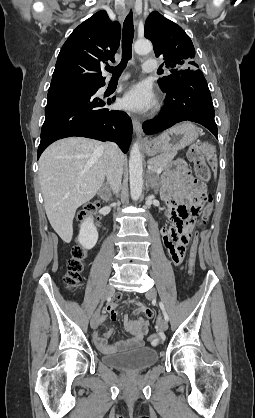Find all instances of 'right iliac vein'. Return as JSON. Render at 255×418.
<instances>
[{
    "label": "right iliac vein",
    "instance_id": "63e3f726",
    "mask_svg": "<svg viewBox=\"0 0 255 418\" xmlns=\"http://www.w3.org/2000/svg\"><path fill=\"white\" fill-rule=\"evenodd\" d=\"M114 291L115 289L112 285H107L103 293L102 302L109 299L114 294ZM98 323H99V312H96L93 315L91 322H90L91 328L92 329L97 328Z\"/></svg>",
    "mask_w": 255,
    "mask_h": 418
}]
</instances>
